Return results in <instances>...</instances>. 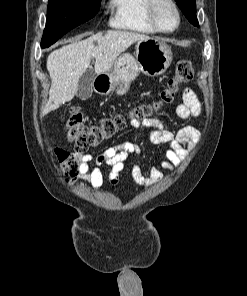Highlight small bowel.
Instances as JSON below:
<instances>
[{
	"label": "small bowel",
	"mask_w": 247,
	"mask_h": 296,
	"mask_svg": "<svg viewBox=\"0 0 247 296\" xmlns=\"http://www.w3.org/2000/svg\"><path fill=\"white\" fill-rule=\"evenodd\" d=\"M183 103L175 108V116L181 120H189L201 114V103L196 93L190 88H184L181 92ZM131 126L135 130L142 127L149 129L150 141L162 147L164 158L159 166H151L148 174L143 173L142 167L135 164L132 169L134 183L138 187H148L163 177L162 169L170 173L180 166L188 151L200 139V132L192 126H183L176 131L170 130L156 118H148L143 121L131 120ZM141 147L136 143H124L110 147L102 154L93 158L90 154H80V166L76 174L77 179L89 182L92 187L98 189L105 183V177L101 166L111 168L107 180L111 185L119 183V173L133 157L140 155ZM95 162L91 166V162Z\"/></svg>",
	"instance_id": "1"
}]
</instances>
